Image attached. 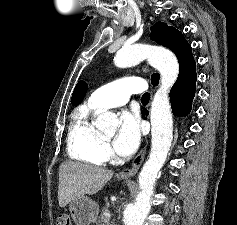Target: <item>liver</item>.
<instances>
[{
  "label": "liver",
  "instance_id": "6515ba94",
  "mask_svg": "<svg viewBox=\"0 0 237 225\" xmlns=\"http://www.w3.org/2000/svg\"><path fill=\"white\" fill-rule=\"evenodd\" d=\"M112 176V170L72 161L63 162L59 167V206L65 207L80 196L96 194Z\"/></svg>",
  "mask_w": 237,
  "mask_h": 225
}]
</instances>
